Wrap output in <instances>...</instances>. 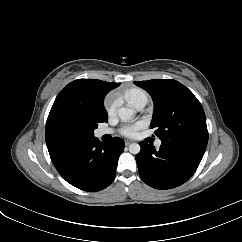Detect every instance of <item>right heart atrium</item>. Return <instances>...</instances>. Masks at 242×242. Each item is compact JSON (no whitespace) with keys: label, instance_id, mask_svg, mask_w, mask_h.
I'll use <instances>...</instances> for the list:
<instances>
[{"label":"right heart atrium","instance_id":"right-heart-atrium-1","mask_svg":"<svg viewBox=\"0 0 242 242\" xmlns=\"http://www.w3.org/2000/svg\"><path fill=\"white\" fill-rule=\"evenodd\" d=\"M106 110L109 114L114 113L116 106H117V101L114 96H109L108 99L105 102Z\"/></svg>","mask_w":242,"mask_h":242}]
</instances>
